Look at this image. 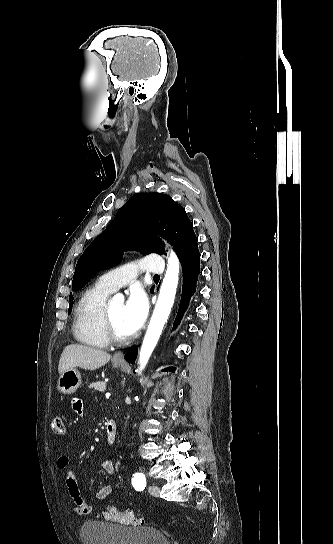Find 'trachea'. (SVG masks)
Wrapping results in <instances>:
<instances>
[{
  "label": "trachea",
  "mask_w": 333,
  "mask_h": 544,
  "mask_svg": "<svg viewBox=\"0 0 333 544\" xmlns=\"http://www.w3.org/2000/svg\"><path fill=\"white\" fill-rule=\"evenodd\" d=\"M154 278H159V275H155Z\"/></svg>",
  "instance_id": "trachea-1"
}]
</instances>
